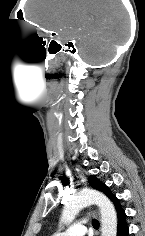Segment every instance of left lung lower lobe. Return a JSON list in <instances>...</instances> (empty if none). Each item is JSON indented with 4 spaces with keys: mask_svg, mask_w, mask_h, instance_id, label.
<instances>
[{
    "mask_svg": "<svg viewBox=\"0 0 145 236\" xmlns=\"http://www.w3.org/2000/svg\"><path fill=\"white\" fill-rule=\"evenodd\" d=\"M118 216L117 236H128L129 230L126 223V214L123 209H116Z\"/></svg>",
    "mask_w": 145,
    "mask_h": 236,
    "instance_id": "left-lung-lower-lobe-1",
    "label": "left lung lower lobe"
}]
</instances>
